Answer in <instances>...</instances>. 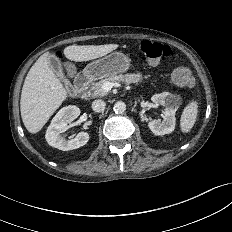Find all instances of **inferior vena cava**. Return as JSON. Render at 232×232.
<instances>
[{
	"label": "inferior vena cava",
	"mask_w": 232,
	"mask_h": 232,
	"mask_svg": "<svg viewBox=\"0 0 232 232\" xmlns=\"http://www.w3.org/2000/svg\"><path fill=\"white\" fill-rule=\"evenodd\" d=\"M105 107L106 103L101 99L92 102V109L95 112H103L105 110Z\"/></svg>",
	"instance_id": "obj_1"
}]
</instances>
